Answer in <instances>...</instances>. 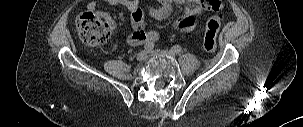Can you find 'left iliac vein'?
Returning a JSON list of instances; mask_svg holds the SVG:
<instances>
[{
  "label": "left iliac vein",
  "instance_id": "4c4485c4",
  "mask_svg": "<svg viewBox=\"0 0 303 127\" xmlns=\"http://www.w3.org/2000/svg\"><path fill=\"white\" fill-rule=\"evenodd\" d=\"M150 54L152 56H156V57H168V58L175 57V53L172 52L171 50L155 49V50L150 51Z\"/></svg>",
  "mask_w": 303,
  "mask_h": 127
}]
</instances>
